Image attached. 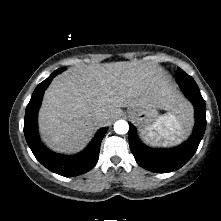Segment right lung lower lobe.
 Instances as JSON below:
<instances>
[{"label":"right lung lower lobe","instance_id":"98d812e1","mask_svg":"<svg viewBox=\"0 0 221 221\" xmlns=\"http://www.w3.org/2000/svg\"><path fill=\"white\" fill-rule=\"evenodd\" d=\"M51 74L34 90L31 100L26 107L24 119V134L26 141L36 159L51 172L65 177H73L91 170L99 159L101 141L107 128L100 129L88 147L74 156H64L48 150L40 141L37 127V114L44 91L52 78Z\"/></svg>","mask_w":221,"mask_h":221}]
</instances>
